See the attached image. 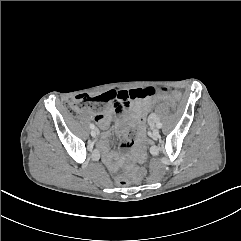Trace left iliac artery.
Listing matches in <instances>:
<instances>
[{"label": "left iliac artery", "mask_w": 241, "mask_h": 241, "mask_svg": "<svg viewBox=\"0 0 241 241\" xmlns=\"http://www.w3.org/2000/svg\"><path fill=\"white\" fill-rule=\"evenodd\" d=\"M156 126H157V128H161L162 127V123L161 122H157Z\"/></svg>", "instance_id": "obj_1"}]
</instances>
